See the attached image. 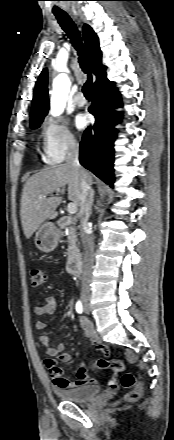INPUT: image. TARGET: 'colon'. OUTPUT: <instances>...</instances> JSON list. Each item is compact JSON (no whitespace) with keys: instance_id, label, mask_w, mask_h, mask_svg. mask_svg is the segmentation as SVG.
Returning <instances> with one entry per match:
<instances>
[{"instance_id":"1","label":"colon","mask_w":174,"mask_h":440,"mask_svg":"<svg viewBox=\"0 0 174 440\" xmlns=\"http://www.w3.org/2000/svg\"><path fill=\"white\" fill-rule=\"evenodd\" d=\"M45 281V275L42 270L33 268L30 270V282L32 287L37 288L43 285ZM100 369H111L114 373L121 374L120 385L128 389L125 395V400L129 402L137 401L142 394L143 385L135 377L134 374L125 371V364L120 359H100L96 363ZM108 385L111 388L117 387L118 383L113 378L108 380Z\"/></svg>"}]
</instances>
